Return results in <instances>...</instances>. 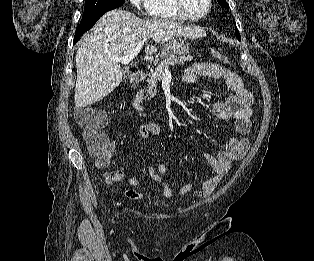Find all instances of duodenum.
Wrapping results in <instances>:
<instances>
[{
	"mask_svg": "<svg viewBox=\"0 0 314 261\" xmlns=\"http://www.w3.org/2000/svg\"><path fill=\"white\" fill-rule=\"evenodd\" d=\"M145 80V73L144 72H135L131 76V82L134 85H140ZM132 107L138 113H145L146 112V105L140 95L139 92H135L132 96Z\"/></svg>",
	"mask_w": 314,
	"mask_h": 261,
	"instance_id": "410a0bca",
	"label": "duodenum"
}]
</instances>
